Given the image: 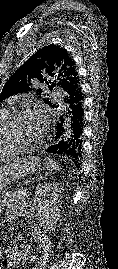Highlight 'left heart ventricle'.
Wrapping results in <instances>:
<instances>
[{
	"instance_id": "obj_1",
	"label": "left heart ventricle",
	"mask_w": 118,
	"mask_h": 269,
	"mask_svg": "<svg viewBox=\"0 0 118 269\" xmlns=\"http://www.w3.org/2000/svg\"><path fill=\"white\" fill-rule=\"evenodd\" d=\"M12 132L16 138L29 142L37 141L43 133L32 112L20 117L14 124Z\"/></svg>"
}]
</instances>
